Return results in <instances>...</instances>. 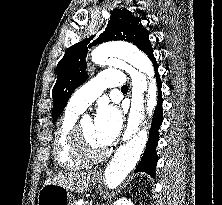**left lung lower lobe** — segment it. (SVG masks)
Returning a JSON list of instances; mask_svg holds the SVG:
<instances>
[{"label": "left lung lower lobe", "mask_w": 222, "mask_h": 205, "mask_svg": "<svg viewBox=\"0 0 222 205\" xmlns=\"http://www.w3.org/2000/svg\"><path fill=\"white\" fill-rule=\"evenodd\" d=\"M140 49L150 58V60L152 61L154 65L159 92H158V102H157V106L153 115L152 124L150 128L148 143H147L145 152L134 172L135 173L145 172L151 175L152 177H154L155 167L158 161V156L156 154L155 148L159 140L158 130L163 121V112H162L163 99H162V92H161V81H160V77L158 73V65L153 55V48L151 46V43L148 37L144 40Z\"/></svg>", "instance_id": "1"}]
</instances>
